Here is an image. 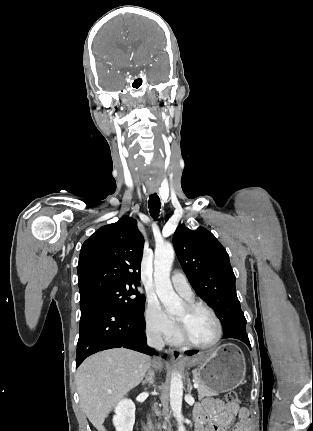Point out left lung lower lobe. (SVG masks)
<instances>
[{
    "label": "left lung lower lobe",
    "mask_w": 313,
    "mask_h": 431,
    "mask_svg": "<svg viewBox=\"0 0 313 431\" xmlns=\"http://www.w3.org/2000/svg\"><path fill=\"white\" fill-rule=\"evenodd\" d=\"M224 338H235V339L241 340L251 349L250 341L246 334V330L237 329V330L230 331L224 334ZM197 352L198 351H186L185 354L190 356V355L196 354Z\"/></svg>",
    "instance_id": "1"
}]
</instances>
